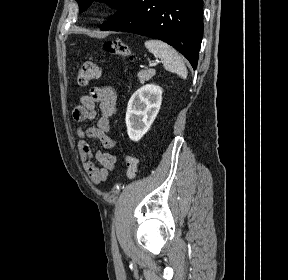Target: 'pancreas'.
Returning <instances> with one entry per match:
<instances>
[{
  "label": "pancreas",
  "mask_w": 288,
  "mask_h": 280,
  "mask_svg": "<svg viewBox=\"0 0 288 280\" xmlns=\"http://www.w3.org/2000/svg\"><path fill=\"white\" fill-rule=\"evenodd\" d=\"M155 75V69H145L138 73V78L140 83H144L148 81Z\"/></svg>",
  "instance_id": "pancreas-1"
}]
</instances>
